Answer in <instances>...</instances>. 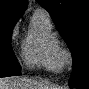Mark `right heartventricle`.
Here are the masks:
<instances>
[{"label": "right heart ventricle", "mask_w": 89, "mask_h": 89, "mask_svg": "<svg viewBox=\"0 0 89 89\" xmlns=\"http://www.w3.org/2000/svg\"><path fill=\"white\" fill-rule=\"evenodd\" d=\"M23 58L29 67H41L55 73L62 70L60 41L48 13H34L23 44Z\"/></svg>", "instance_id": "e07e8e85"}]
</instances>
